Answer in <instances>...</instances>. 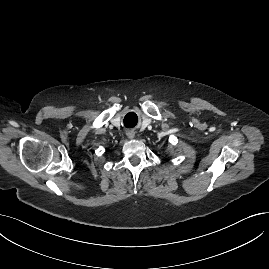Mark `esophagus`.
<instances>
[{"mask_svg":"<svg viewBox=\"0 0 269 269\" xmlns=\"http://www.w3.org/2000/svg\"><path fill=\"white\" fill-rule=\"evenodd\" d=\"M127 136H128V138L133 139L135 137V134H134V132H129L127 134Z\"/></svg>","mask_w":269,"mask_h":269,"instance_id":"obj_1","label":"esophagus"}]
</instances>
